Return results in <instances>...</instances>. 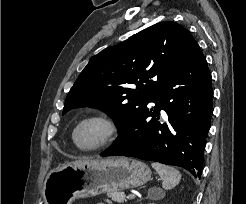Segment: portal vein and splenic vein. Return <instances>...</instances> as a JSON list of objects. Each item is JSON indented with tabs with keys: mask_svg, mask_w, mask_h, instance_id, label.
Wrapping results in <instances>:
<instances>
[{
	"mask_svg": "<svg viewBox=\"0 0 246 204\" xmlns=\"http://www.w3.org/2000/svg\"><path fill=\"white\" fill-rule=\"evenodd\" d=\"M127 198H128V199H134L135 196H134V195H128Z\"/></svg>",
	"mask_w": 246,
	"mask_h": 204,
	"instance_id": "portal-vein-and-splenic-vein-1",
	"label": "portal vein and splenic vein"
}]
</instances>
